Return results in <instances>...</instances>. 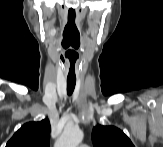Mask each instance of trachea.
<instances>
[{
  "label": "trachea",
  "mask_w": 163,
  "mask_h": 147,
  "mask_svg": "<svg viewBox=\"0 0 163 147\" xmlns=\"http://www.w3.org/2000/svg\"><path fill=\"white\" fill-rule=\"evenodd\" d=\"M75 85H76V80H73V81L67 80V94L69 96L72 95V93L75 89Z\"/></svg>",
  "instance_id": "trachea-1"
}]
</instances>
